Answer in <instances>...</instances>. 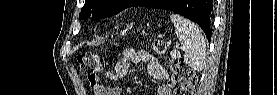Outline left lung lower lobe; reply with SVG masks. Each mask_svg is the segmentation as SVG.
Returning <instances> with one entry per match:
<instances>
[{"label":"left lung lower lobe","mask_w":277,"mask_h":95,"mask_svg":"<svg viewBox=\"0 0 277 95\" xmlns=\"http://www.w3.org/2000/svg\"><path fill=\"white\" fill-rule=\"evenodd\" d=\"M133 6L160 8L159 0H138ZM165 9L174 11L196 22L211 40L212 0H176Z\"/></svg>","instance_id":"obj_1"}]
</instances>
